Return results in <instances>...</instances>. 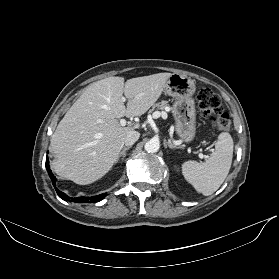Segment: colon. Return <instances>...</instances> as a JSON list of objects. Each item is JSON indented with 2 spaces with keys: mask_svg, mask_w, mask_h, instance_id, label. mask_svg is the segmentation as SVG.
<instances>
[{
  "mask_svg": "<svg viewBox=\"0 0 279 279\" xmlns=\"http://www.w3.org/2000/svg\"><path fill=\"white\" fill-rule=\"evenodd\" d=\"M199 110L205 117H211L213 125L220 131L231 128V118L222 108L220 97L211 89L203 88L198 93Z\"/></svg>",
  "mask_w": 279,
  "mask_h": 279,
  "instance_id": "1",
  "label": "colon"
}]
</instances>
